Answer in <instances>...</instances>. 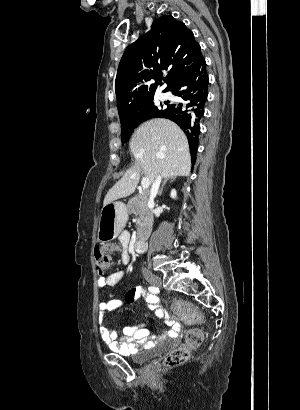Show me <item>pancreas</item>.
I'll use <instances>...</instances> for the list:
<instances>
[{"mask_svg": "<svg viewBox=\"0 0 300 410\" xmlns=\"http://www.w3.org/2000/svg\"><path fill=\"white\" fill-rule=\"evenodd\" d=\"M127 209L130 213L136 215V225L138 226V234L141 235L144 228L150 230L152 226V214L147 208V198L145 194L137 195L131 198L127 204Z\"/></svg>", "mask_w": 300, "mask_h": 410, "instance_id": "1", "label": "pancreas"}]
</instances>
